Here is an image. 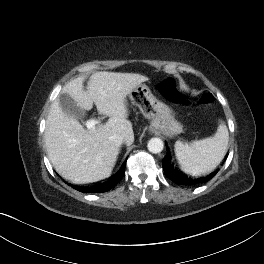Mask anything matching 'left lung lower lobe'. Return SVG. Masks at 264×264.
Returning a JSON list of instances; mask_svg holds the SVG:
<instances>
[{"label": "left lung lower lobe", "instance_id": "obj_1", "mask_svg": "<svg viewBox=\"0 0 264 264\" xmlns=\"http://www.w3.org/2000/svg\"><path fill=\"white\" fill-rule=\"evenodd\" d=\"M162 166L164 169L165 174L171 179L174 183L178 185H195L205 181L210 180L213 178L217 172H213L208 176L200 177V178H191L188 175L184 174L180 170H178L170 161V157L168 154L162 160Z\"/></svg>", "mask_w": 264, "mask_h": 264}]
</instances>
